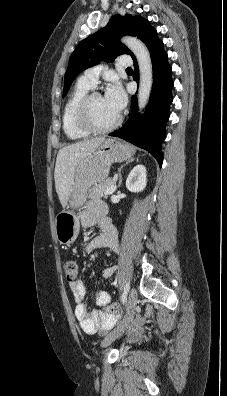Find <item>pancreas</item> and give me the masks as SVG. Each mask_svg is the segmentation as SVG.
I'll return each instance as SVG.
<instances>
[{
    "mask_svg": "<svg viewBox=\"0 0 227 396\" xmlns=\"http://www.w3.org/2000/svg\"><path fill=\"white\" fill-rule=\"evenodd\" d=\"M114 182L112 180H106L102 183L95 184L89 189V197L90 198H108L105 194L106 190L110 188Z\"/></svg>",
    "mask_w": 227,
    "mask_h": 396,
    "instance_id": "obj_1",
    "label": "pancreas"
}]
</instances>
